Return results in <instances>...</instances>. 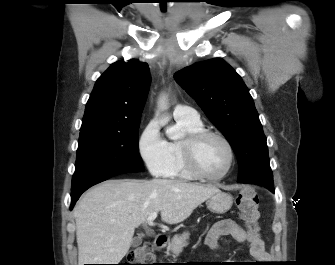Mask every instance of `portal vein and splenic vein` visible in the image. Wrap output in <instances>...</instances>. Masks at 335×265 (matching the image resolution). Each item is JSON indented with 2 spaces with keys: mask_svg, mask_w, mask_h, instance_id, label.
<instances>
[{
  "mask_svg": "<svg viewBox=\"0 0 335 265\" xmlns=\"http://www.w3.org/2000/svg\"><path fill=\"white\" fill-rule=\"evenodd\" d=\"M157 214H158V212H153L148 218H147V224L148 225H153L154 223V220L156 219V217H157Z\"/></svg>",
  "mask_w": 335,
  "mask_h": 265,
  "instance_id": "18ae733b",
  "label": "portal vein and splenic vein"
}]
</instances>
